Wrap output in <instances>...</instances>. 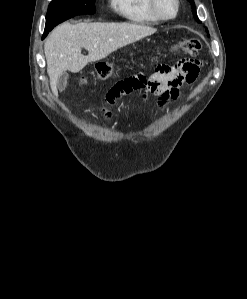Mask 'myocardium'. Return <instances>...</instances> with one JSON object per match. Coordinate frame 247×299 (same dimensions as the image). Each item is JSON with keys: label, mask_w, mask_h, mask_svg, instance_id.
Here are the masks:
<instances>
[{"label": "myocardium", "mask_w": 247, "mask_h": 299, "mask_svg": "<svg viewBox=\"0 0 247 299\" xmlns=\"http://www.w3.org/2000/svg\"><path fill=\"white\" fill-rule=\"evenodd\" d=\"M172 1L175 4V12L173 15L166 16V15L162 14L159 9L160 0H150V9H151L152 13L154 14V16L156 18H158L160 21H170V20L175 19L179 14L180 1L179 0H172Z\"/></svg>", "instance_id": "f54148a6"}]
</instances>
